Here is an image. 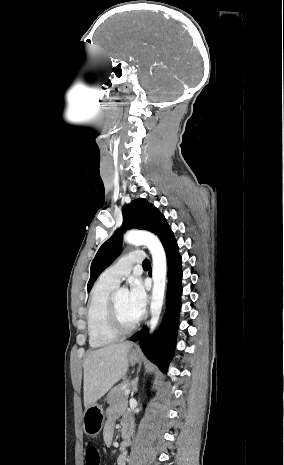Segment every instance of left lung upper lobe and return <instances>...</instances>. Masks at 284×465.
I'll return each instance as SVG.
<instances>
[{
	"label": "left lung upper lobe",
	"instance_id": "1",
	"mask_svg": "<svg viewBox=\"0 0 284 465\" xmlns=\"http://www.w3.org/2000/svg\"><path fill=\"white\" fill-rule=\"evenodd\" d=\"M131 228H138L155 233L162 244L172 233L165 217L158 209L143 198L133 200L123 209V224L107 241L99 248L91 264V276L87 285L90 291L95 280L101 272L107 268L120 254L122 232Z\"/></svg>",
	"mask_w": 284,
	"mask_h": 465
}]
</instances>
